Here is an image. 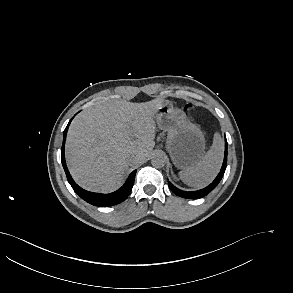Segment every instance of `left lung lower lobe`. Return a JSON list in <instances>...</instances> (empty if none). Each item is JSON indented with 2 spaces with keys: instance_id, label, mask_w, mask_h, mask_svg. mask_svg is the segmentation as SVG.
<instances>
[{
  "instance_id": "left-lung-lower-lobe-1",
  "label": "left lung lower lobe",
  "mask_w": 293,
  "mask_h": 293,
  "mask_svg": "<svg viewBox=\"0 0 293 293\" xmlns=\"http://www.w3.org/2000/svg\"><path fill=\"white\" fill-rule=\"evenodd\" d=\"M226 165H227V140H225V156H224V161H223L221 171L209 186H207L204 189L198 190V191L187 192V191H182V190L176 188L170 182H168V185H169L170 189L176 195H178L180 197L187 198V199L202 198V197L206 196L208 193H210L218 185V183L221 181L223 174L225 172V169H226Z\"/></svg>"
}]
</instances>
